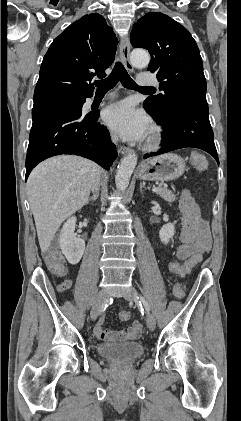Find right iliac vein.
I'll return each mask as SVG.
<instances>
[{
  "mask_svg": "<svg viewBox=\"0 0 241 421\" xmlns=\"http://www.w3.org/2000/svg\"><path fill=\"white\" fill-rule=\"evenodd\" d=\"M107 300V293L105 290H101L94 302V305L92 307L91 310V319L92 320H96L98 314L100 313V309L102 307V305L105 303V301Z\"/></svg>",
  "mask_w": 241,
  "mask_h": 421,
  "instance_id": "right-iliac-vein-1",
  "label": "right iliac vein"
}]
</instances>
